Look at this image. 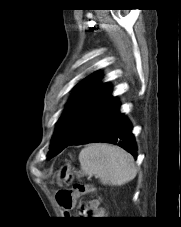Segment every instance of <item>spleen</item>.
Returning <instances> with one entry per match:
<instances>
[{
    "mask_svg": "<svg viewBox=\"0 0 181 227\" xmlns=\"http://www.w3.org/2000/svg\"><path fill=\"white\" fill-rule=\"evenodd\" d=\"M79 161L84 174L98 176L103 185L122 186L137 174L133 157L109 144L88 145L81 150Z\"/></svg>",
    "mask_w": 181,
    "mask_h": 227,
    "instance_id": "1",
    "label": "spleen"
}]
</instances>
